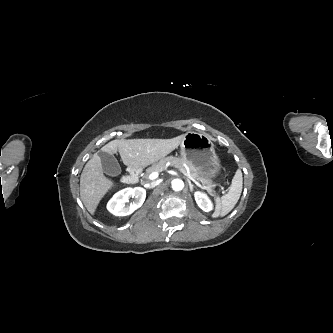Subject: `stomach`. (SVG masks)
Returning <instances> with one entry per match:
<instances>
[{"label":"stomach","instance_id":"0dacf381","mask_svg":"<svg viewBox=\"0 0 333 333\" xmlns=\"http://www.w3.org/2000/svg\"><path fill=\"white\" fill-rule=\"evenodd\" d=\"M180 154L190 168L205 177L216 178L221 171L214 144L207 134L186 133L180 143Z\"/></svg>","mask_w":333,"mask_h":333}]
</instances>
